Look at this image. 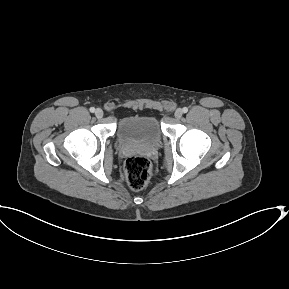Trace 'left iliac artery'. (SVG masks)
Listing matches in <instances>:
<instances>
[{
  "mask_svg": "<svg viewBox=\"0 0 289 289\" xmlns=\"http://www.w3.org/2000/svg\"><path fill=\"white\" fill-rule=\"evenodd\" d=\"M182 111H183V113H187V112H188V108H187V107H184V108L182 109Z\"/></svg>",
  "mask_w": 289,
  "mask_h": 289,
  "instance_id": "obj_1",
  "label": "left iliac artery"
}]
</instances>
